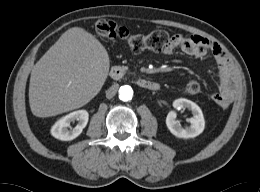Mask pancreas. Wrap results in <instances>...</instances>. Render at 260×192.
<instances>
[{"instance_id": "obj_1", "label": "pancreas", "mask_w": 260, "mask_h": 192, "mask_svg": "<svg viewBox=\"0 0 260 192\" xmlns=\"http://www.w3.org/2000/svg\"><path fill=\"white\" fill-rule=\"evenodd\" d=\"M123 69H124L125 71L129 72V71H128V67L123 66Z\"/></svg>"}]
</instances>
